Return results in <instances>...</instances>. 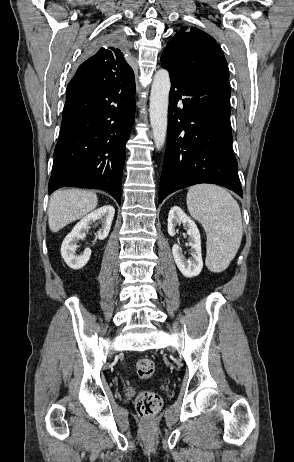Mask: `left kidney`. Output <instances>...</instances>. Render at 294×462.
<instances>
[{
    "mask_svg": "<svg viewBox=\"0 0 294 462\" xmlns=\"http://www.w3.org/2000/svg\"><path fill=\"white\" fill-rule=\"evenodd\" d=\"M180 223L183 224L189 236L188 240L191 247V258L187 260L184 257L178 244L173 245L172 254L180 272L185 277L191 278L199 275L203 268L200 232L195 222L187 216L180 207L174 206L170 209L168 214V234L170 236H175V227Z\"/></svg>",
    "mask_w": 294,
    "mask_h": 462,
    "instance_id": "5707ae66",
    "label": "left kidney"
}]
</instances>
